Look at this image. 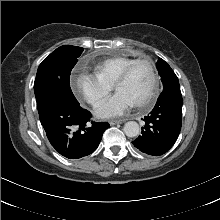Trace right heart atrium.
Instances as JSON below:
<instances>
[{
  "label": "right heart atrium",
  "mask_w": 220,
  "mask_h": 220,
  "mask_svg": "<svg viewBox=\"0 0 220 220\" xmlns=\"http://www.w3.org/2000/svg\"><path fill=\"white\" fill-rule=\"evenodd\" d=\"M71 89L78 98L97 106L109 95L112 87L96 75L79 73L72 78Z\"/></svg>",
  "instance_id": "right-heart-atrium-1"
}]
</instances>
